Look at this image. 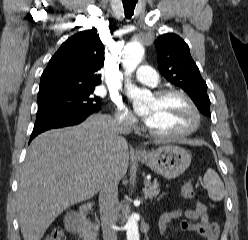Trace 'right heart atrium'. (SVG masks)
<instances>
[{
    "label": "right heart atrium",
    "instance_id": "d8ad5b80",
    "mask_svg": "<svg viewBox=\"0 0 248 240\" xmlns=\"http://www.w3.org/2000/svg\"><path fill=\"white\" fill-rule=\"evenodd\" d=\"M115 120L125 127L131 128L135 125V118L120 99H114Z\"/></svg>",
    "mask_w": 248,
    "mask_h": 240
}]
</instances>
